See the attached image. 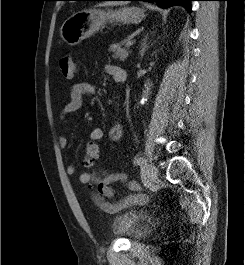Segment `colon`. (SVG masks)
Wrapping results in <instances>:
<instances>
[{
  "instance_id": "5ec220e1",
  "label": "colon",
  "mask_w": 245,
  "mask_h": 265,
  "mask_svg": "<svg viewBox=\"0 0 245 265\" xmlns=\"http://www.w3.org/2000/svg\"><path fill=\"white\" fill-rule=\"evenodd\" d=\"M59 69L61 75L66 79H72L76 72V65L73 58L68 55H62L59 59ZM99 155V146L97 143L88 142L85 147L83 164L86 167H92Z\"/></svg>"
}]
</instances>
